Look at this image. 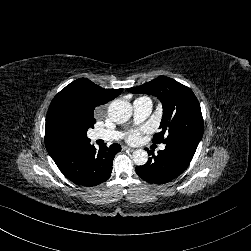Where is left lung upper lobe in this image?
<instances>
[{
	"instance_id": "obj_1",
	"label": "left lung upper lobe",
	"mask_w": 251,
	"mask_h": 251,
	"mask_svg": "<svg viewBox=\"0 0 251 251\" xmlns=\"http://www.w3.org/2000/svg\"><path fill=\"white\" fill-rule=\"evenodd\" d=\"M127 90L157 96L162 102V131L154 135V143L183 141L198 146L203 135V118L199 102L190 88L169 77L159 76Z\"/></svg>"
}]
</instances>
